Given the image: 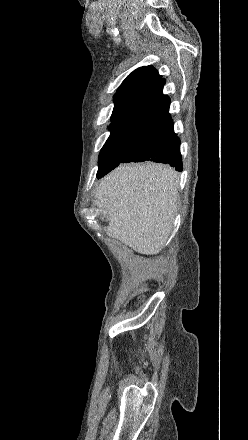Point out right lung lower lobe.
Instances as JSON below:
<instances>
[{"label": "right lung lower lobe", "mask_w": 248, "mask_h": 440, "mask_svg": "<svg viewBox=\"0 0 248 440\" xmlns=\"http://www.w3.org/2000/svg\"><path fill=\"white\" fill-rule=\"evenodd\" d=\"M153 161L182 171L180 140L173 130L169 107L138 126L129 135L121 163Z\"/></svg>", "instance_id": "1"}]
</instances>
